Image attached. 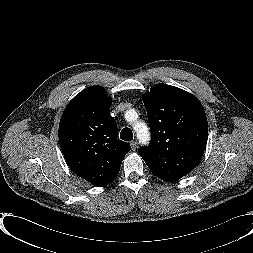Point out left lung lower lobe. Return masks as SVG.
<instances>
[{
	"mask_svg": "<svg viewBox=\"0 0 253 253\" xmlns=\"http://www.w3.org/2000/svg\"><path fill=\"white\" fill-rule=\"evenodd\" d=\"M159 178H160V177H159ZM160 179H162V180H164V181L170 182V181L176 180L177 178H160Z\"/></svg>",
	"mask_w": 253,
	"mask_h": 253,
	"instance_id": "left-lung-lower-lobe-1",
	"label": "left lung lower lobe"
}]
</instances>
